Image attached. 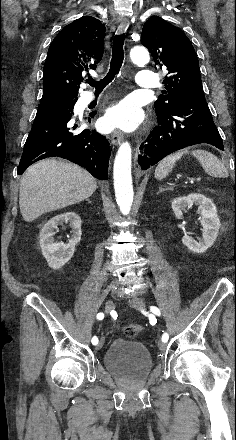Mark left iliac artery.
<instances>
[{
	"mask_svg": "<svg viewBox=\"0 0 236 440\" xmlns=\"http://www.w3.org/2000/svg\"><path fill=\"white\" fill-rule=\"evenodd\" d=\"M150 310H151L155 315H157V316H160V315H161L160 310H159L156 306H151V307H150ZM168 339H169V335H168V333L165 332V333L162 335V341L167 342Z\"/></svg>",
	"mask_w": 236,
	"mask_h": 440,
	"instance_id": "44dca946",
	"label": "left iliac artery"
}]
</instances>
